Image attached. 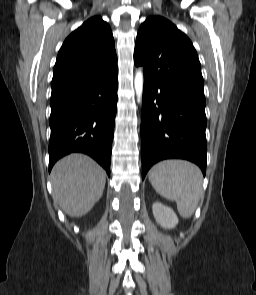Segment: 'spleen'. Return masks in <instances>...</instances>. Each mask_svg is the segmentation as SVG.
Instances as JSON below:
<instances>
[{"mask_svg": "<svg viewBox=\"0 0 256 295\" xmlns=\"http://www.w3.org/2000/svg\"><path fill=\"white\" fill-rule=\"evenodd\" d=\"M149 181L158 194L177 203L179 214L190 218L202 193L200 169L184 160H166L154 165Z\"/></svg>", "mask_w": 256, "mask_h": 295, "instance_id": "1", "label": "spleen"}]
</instances>
